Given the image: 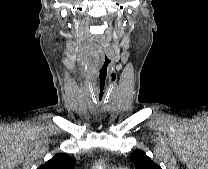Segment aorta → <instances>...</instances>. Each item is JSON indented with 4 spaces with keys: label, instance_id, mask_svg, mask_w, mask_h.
Listing matches in <instances>:
<instances>
[{
    "label": "aorta",
    "instance_id": "aorta-1",
    "mask_svg": "<svg viewBox=\"0 0 208 169\" xmlns=\"http://www.w3.org/2000/svg\"><path fill=\"white\" fill-rule=\"evenodd\" d=\"M94 169H103V167L100 164H97Z\"/></svg>",
    "mask_w": 208,
    "mask_h": 169
}]
</instances>
